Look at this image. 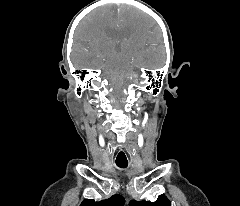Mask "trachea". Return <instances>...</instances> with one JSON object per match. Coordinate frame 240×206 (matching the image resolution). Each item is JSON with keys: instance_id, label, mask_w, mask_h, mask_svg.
I'll return each instance as SVG.
<instances>
[{"instance_id": "1", "label": "trachea", "mask_w": 240, "mask_h": 206, "mask_svg": "<svg viewBox=\"0 0 240 206\" xmlns=\"http://www.w3.org/2000/svg\"><path fill=\"white\" fill-rule=\"evenodd\" d=\"M116 165L120 168H126L128 166V162H116Z\"/></svg>"}]
</instances>
